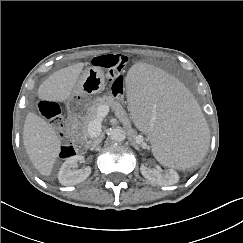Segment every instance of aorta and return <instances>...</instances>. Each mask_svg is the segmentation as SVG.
Here are the masks:
<instances>
[{
	"label": "aorta",
	"mask_w": 243,
	"mask_h": 243,
	"mask_svg": "<svg viewBox=\"0 0 243 243\" xmlns=\"http://www.w3.org/2000/svg\"><path fill=\"white\" fill-rule=\"evenodd\" d=\"M109 137L113 141L121 142L126 138L125 131L122 128H113L109 131Z\"/></svg>",
	"instance_id": "aorta-1"
}]
</instances>
